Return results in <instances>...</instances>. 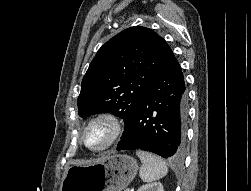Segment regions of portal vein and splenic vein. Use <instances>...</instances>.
Wrapping results in <instances>:
<instances>
[{"label":"portal vein and splenic vein","mask_w":251,"mask_h":191,"mask_svg":"<svg viewBox=\"0 0 251 191\" xmlns=\"http://www.w3.org/2000/svg\"><path fill=\"white\" fill-rule=\"evenodd\" d=\"M124 191H130L129 187H126V188L124 189Z\"/></svg>","instance_id":"1"}]
</instances>
